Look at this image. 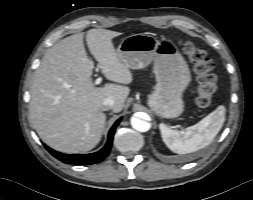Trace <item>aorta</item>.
I'll return each mask as SVG.
<instances>
[{"label": "aorta", "mask_w": 253, "mask_h": 200, "mask_svg": "<svg viewBox=\"0 0 253 200\" xmlns=\"http://www.w3.org/2000/svg\"><path fill=\"white\" fill-rule=\"evenodd\" d=\"M131 125L135 130L140 131V132H146L151 127L149 122L144 121V120L137 118V117L131 118Z\"/></svg>", "instance_id": "aorta-1"}]
</instances>
